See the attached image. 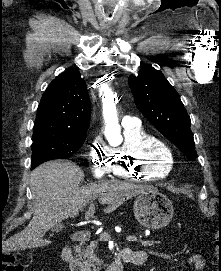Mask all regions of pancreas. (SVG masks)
I'll return each instance as SVG.
<instances>
[{"label": "pancreas", "instance_id": "cf45deb5", "mask_svg": "<svg viewBox=\"0 0 221 271\" xmlns=\"http://www.w3.org/2000/svg\"><path fill=\"white\" fill-rule=\"evenodd\" d=\"M160 239H137L136 243L141 244L142 247H155L157 244H160ZM97 247L96 241H91L88 243L86 247H82L81 251H79L77 257L80 261H83L84 265H88L90 267V271H96V269H100V267H96V265H103L102 259L97 257V253L95 251Z\"/></svg>", "mask_w": 221, "mask_h": 271}]
</instances>
